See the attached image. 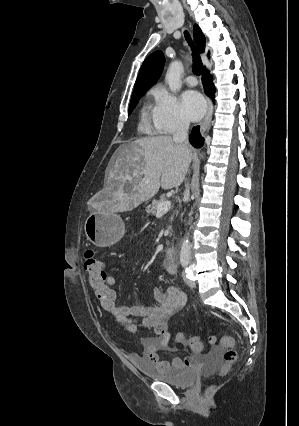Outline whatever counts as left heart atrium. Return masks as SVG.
Here are the masks:
<instances>
[{
    "instance_id": "39dd6f15",
    "label": "left heart atrium",
    "mask_w": 299,
    "mask_h": 426,
    "mask_svg": "<svg viewBox=\"0 0 299 426\" xmlns=\"http://www.w3.org/2000/svg\"><path fill=\"white\" fill-rule=\"evenodd\" d=\"M183 110L191 121L199 120L206 111V102L202 95L194 90H188L182 97Z\"/></svg>"
}]
</instances>
